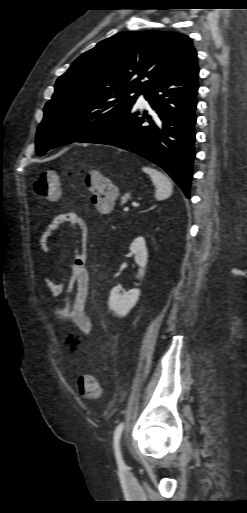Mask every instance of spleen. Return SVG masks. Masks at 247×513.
<instances>
[{
    "label": "spleen",
    "mask_w": 247,
    "mask_h": 513,
    "mask_svg": "<svg viewBox=\"0 0 247 513\" xmlns=\"http://www.w3.org/2000/svg\"><path fill=\"white\" fill-rule=\"evenodd\" d=\"M143 172L147 173L156 187L155 198L164 200L171 196L173 184L168 176L154 168L143 167Z\"/></svg>",
    "instance_id": "3e777b00"
}]
</instances>
